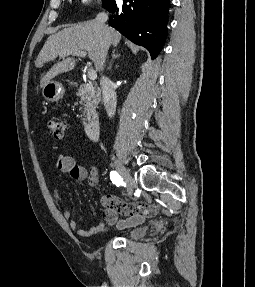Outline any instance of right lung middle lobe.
Listing matches in <instances>:
<instances>
[{
    "mask_svg": "<svg viewBox=\"0 0 255 287\" xmlns=\"http://www.w3.org/2000/svg\"><path fill=\"white\" fill-rule=\"evenodd\" d=\"M114 5H115V0H103V6L108 10Z\"/></svg>",
    "mask_w": 255,
    "mask_h": 287,
    "instance_id": "obj_1",
    "label": "right lung middle lobe"
}]
</instances>
